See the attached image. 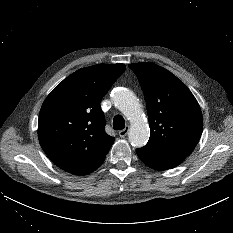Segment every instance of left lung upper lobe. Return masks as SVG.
I'll return each instance as SVG.
<instances>
[{
  "label": "left lung upper lobe",
  "instance_id": "1",
  "mask_svg": "<svg viewBox=\"0 0 233 233\" xmlns=\"http://www.w3.org/2000/svg\"><path fill=\"white\" fill-rule=\"evenodd\" d=\"M129 68L136 74L147 103L150 138L144 148L188 156L203 129L194 95L175 75L154 63H133Z\"/></svg>",
  "mask_w": 233,
  "mask_h": 233
}]
</instances>
